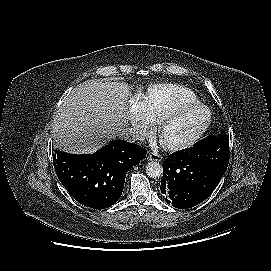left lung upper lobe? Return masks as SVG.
Wrapping results in <instances>:
<instances>
[{
	"label": "left lung upper lobe",
	"instance_id": "obj_1",
	"mask_svg": "<svg viewBox=\"0 0 271 271\" xmlns=\"http://www.w3.org/2000/svg\"><path fill=\"white\" fill-rule=\"evenodd\" d=\"M182 152L225 172L230 156L229 136L223 131L218 137L200 140L193 147Z\"/></svg>",
	"mask_w": 271,
	"mask_h": 271
}]
</instances>
